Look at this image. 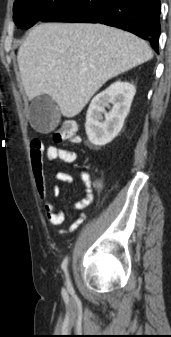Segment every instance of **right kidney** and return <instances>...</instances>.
<instances>
[{
    "label": "right kidney",
    "mask_w": 171,
    "mask_h": 337,
    "mask_svg": "<svg viewBox=\"0 0 171 337\" xmlns=\"http://www.w3.org/2000/svg\"><path fill=\"white\" fill-rule=\"evenodd\" d=\"M135 92L132 83L117 81L92 99L86 115L85 129L93 145H106L118 135L129 113ZM110 104L112 108L106 112L105 107L110 108Z\"/></svg>",
    "instance_id": "right-kidney-1"
}]
</instances>
